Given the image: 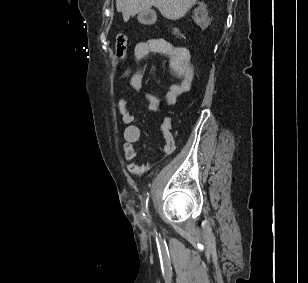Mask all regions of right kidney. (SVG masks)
I'll list each match as a JSON object with an SVG mask.
<instances>
[{
  "label": "right kidney",
  "mask_w": 308,
  "mask_h": 283,
  "mask_svg": "<svg viewBox=\"0 0 308 283\" xmlns=\"http://www.w3.org/2000/svg\"><path fill=\"white\" fill-rule=\"evenodd\" d=\"M203 13H204V6L201 5L197 12L195 13V22L200 25L201 23H203V26L206 27L207 24H206V18L203 16ZM198 14H201V16L199 17Z\"/></svg>",
  "instance_id": "1"
}]
</instances>
